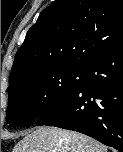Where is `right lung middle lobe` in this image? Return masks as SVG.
I'll list each match as a JSON object with an SVG mask.
<instances>
[{
	"instance_id": "right-lung-middle-lobe-1",
	"label": "right lung middle lobe",
	"mask_w": 123,
	"mask_h": 152,
	"mask_svg": "<svg viewBox=\"0 0 123 152\" xmlns=\"http://www.w3.org/2000/svg\"><path fill=\"white\" fill-rule=\"evenodd\" d=\"M82 72L60 68L23 77L9 89L7 123L26 125L59 108L80 86Z\"/></svg>"
}]
</instances>
